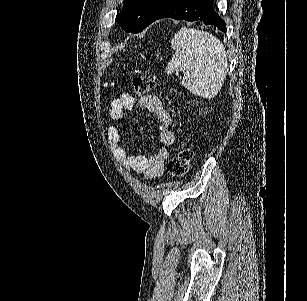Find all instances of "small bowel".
Here are the masks:
<instances>
[{
	"label": "small bowel",
	"mask_w": 307,
	"mask_h": 301,
	"mask_svg": "<svg viewBox=\"0 0 307 301\" xmlns=\"http://www.w3.org/2000/svg\"><path fill=\"white\" fill-rule=\"evenodd\" d=\"M135 105L156 116L160 140L159 152L150 158L141 154H134L121 144V134L113 125L107 129V140L113 156L125 169L136 174H143L147 179H155L164 173L168 150L174 143V134L170 129L172 119L158 97L143 95L136 99L129 93H123L111 101L110 117L115 121H120L123 119L125 111L131 110Z\"/></svg>",
	"instance_id": "c3829d8e"
}]
</instances>
